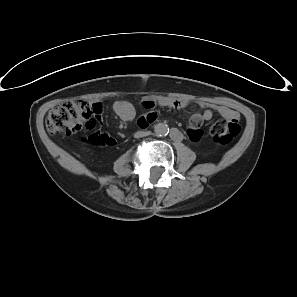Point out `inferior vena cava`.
<instances>
[{"instance_id": "inferior-vena-cava-1", "label": "inferior vena cava", "mask_w": 297, "mask_h": 297, "mask_svg": "<svg viewBox=\"0 0 297 297\" xmlns=\"http://www.w3.org/2000/svg\"><path fill=\"white\" fill-rule=\"evenodd\" d=\"M151 132L150 131H138L134 134V137L135 138H141V137H144V136H148L150 135Z\"/></svg>"}]
</instances>
